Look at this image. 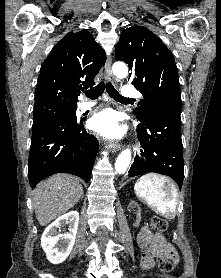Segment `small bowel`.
Masks as SVG:
<instances>
[{
  "mask_svg": "<svg viewBox=\"0 0 221 278\" xmlns=\"http://www.w3.org/2000/svg\"><path fill=\"white\" fill-rule=\"evenodd\" d=\"M137 243L142 249V265L146 270L151 269L155 264V259L160 258L164 253L169 254L175 260L177 259L175 251L165 242L164 237L154 234L148 224L139 231Z\"/></svg>",
  "mask_w": 221,
  "mask_h": 278,
  "instance_id": "c3829d8e",
  "label": "small bowel"
}]
</instances>
